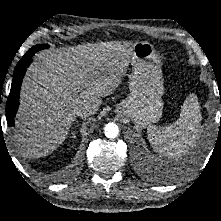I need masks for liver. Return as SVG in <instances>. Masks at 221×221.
<instances>
[{"label": "liver", "mask_w": 221, "mask_h": 221, "mask_svg": "<svg viewBox=\"0 0 221 221\" xmlns=\"http://www.w3.org/2000/svg\"><path fill=\"white\" fill-rule=\"evenodd\" d=\"M134 51L131 41L45 50L29 68L16 118L19 147L28 158L52 153L65 140L79 105L97 109L121 83Z\"/></svg>", "instance_id": "1"}]
</instances>
